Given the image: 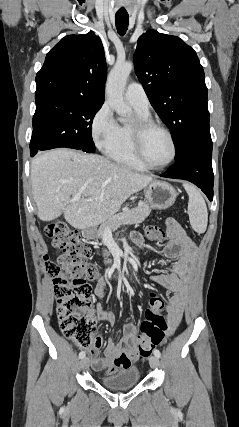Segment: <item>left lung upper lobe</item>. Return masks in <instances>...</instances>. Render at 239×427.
Segmentation results:
<instances>
[{"label": "left lung upper lobe", "mask_w": 239, "mask_h": 427, "mask_svg": "<svg viewBox=\"0 0 239 427\" xmlns=\"http://www.w3.org/2000/svg\"><path fill=\"white\" fill-rule=\"evenodd\" d=\"M135 72L149 101L169 127L179 157L190 145L211 141L204 70L179 37L148 30L137 42Z\"/></svg>", "instance_id": "1"}]
</instances>
